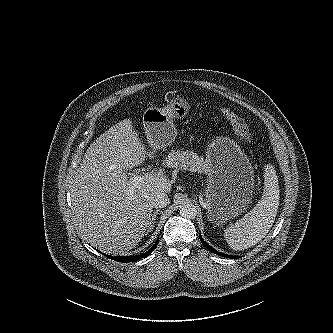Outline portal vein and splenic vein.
Returning <instances> with one entry per match:
<instances>
[{"mask_svg":"<svg viewBox=\"0 0 333 333\" xmlns=\"http://www.w3.org/2000/svg\"><path fill=\"white\" fill-rule=\"evenodd\" d=\"M142 180H143V176H139V175H132V177L130 178V181L133 185L138 184Z\"/></svg>","mask_w":333,"mask_h":333,"instance_id":"portal-vein-and-splenic-vein-1","label":"portal vein and splenic vein"}]
</instances>
